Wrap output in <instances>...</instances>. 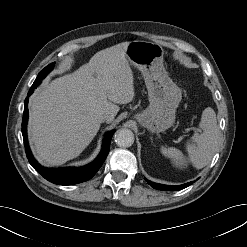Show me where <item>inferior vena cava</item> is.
<instances>
[{"label":"inferior vena cava","mask_w":247,"mask_h":247,"mask_svg":"<svg viewBox=\"0 0 247 247\" xmlns=\"http://www.w3.org/2000/svg\"><path fill=\"white\" fill-rule=\"evenodd\" d=\"M99 119L101 122H106V121H110L111 116L109 114H102L100 115Z\"/></svg>","instance_id":"602c4592"}]
</instances>
